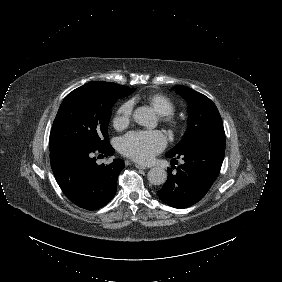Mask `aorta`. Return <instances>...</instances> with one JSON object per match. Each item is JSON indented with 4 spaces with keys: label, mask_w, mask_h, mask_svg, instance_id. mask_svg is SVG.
I'll return each instance as SVG.
<instances>
[{
    "label": "aorta",
    "mask_w": 282,
    "mask_h": 282,
    "mask_svg": "<svg viewBox=\"0 0 282 282\" xmlns=\"http://www.w3.org/2000/svg\"><path fill=\"white\" fill-rule=\"evenodd\" d=\"M136 122L147 128H154L157 124L155 115L148 107H140L135 111ZM148 180L153 185H162L167 180V172L161 167H154L148 173Z\"/></svg>",
    "instance_id": "762f6f07"
}]
</instances>
